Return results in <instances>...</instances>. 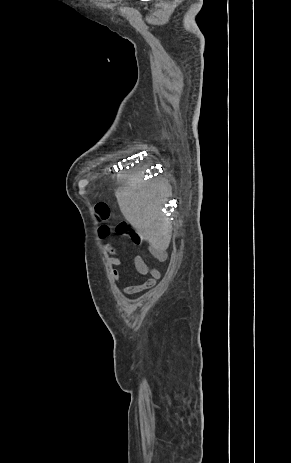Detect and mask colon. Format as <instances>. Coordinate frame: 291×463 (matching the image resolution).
Here are the masks:
<instances>
[{"label": "colon", "instance_id": "colon-1", "mask_svg": "<svg viewBox=\"0 0 291 463\" xmlns=\"http://www.w3.org/2000/svg\"><path fill=\"white\" fill-rule=\"evenodd\" d=\"M95 217L99 223L98 234L103 241L111 240L113 232L118 235L129 238L135 243H139V236L135 233L133 227L125 221H120L116 225L109 224L111 218V208L107 203H97L94 208Z\"/></svg>", "mask_w": 291, "mask_h": 463}]
</instances>
